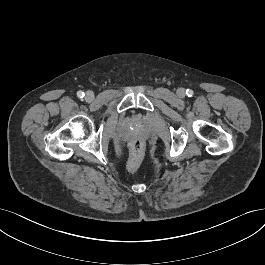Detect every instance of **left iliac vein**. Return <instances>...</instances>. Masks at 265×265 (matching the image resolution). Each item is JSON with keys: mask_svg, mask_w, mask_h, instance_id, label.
<instances>
[{"mask_svg": "<svg viewBox=\"0 0 265 265\" xmlns=\"http://www.w3.org/2000/svg\"><path fill=\"white\" fill-rule=\"evenodd\" d=\"M179 93H180V95H183L184 91L183 90H179Z\"/></svg>", "mask_w": 265, "mask_h": 265, "instance_id": "left-iliac-vein-1", "label": "left iliac vein"}]
</instances>
